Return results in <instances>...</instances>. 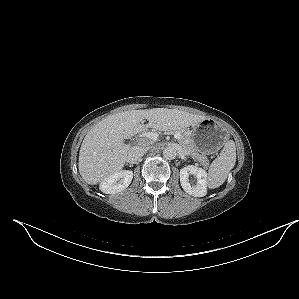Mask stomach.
I'll use <instances>...</instances> for the list:
<instances>
[{"mask_svg":"<svg viewBox=\"0 0 299 299\" xmlns=\"http://www.w3.org/2000/svg\"><path fill=\"white\" fill-rule=\"evenodd\" d=\"M226 139L222 127L216 122L204 119L193 125L190 130V140L195 149L203 154L217 151Z\"/></svg>","mask_w":299,"mask_h":299,"instance_id":"1","label":"stomach"}]
</instances>
